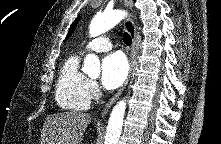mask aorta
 Segmentation results:
<instances>
[{
    "mask_svg": "<svg viewBox=\"0 0 221 144\" xmlns=\"http://www.w3.org/2000/svg\"><path fill=\"white\" fill-rule=\"evenodd\" d=\"M125 15V11L112 10L95 16L89 25L90 37H96L107 32L117 25L125 17ZM83 71L90 77L99 76L100 61L95 54L89 53L86 55L84 59ZM125 109V100L119 101L114 106L109 117L104 144H118L123 126Z\"/></svg>",
    "mask_w": 221,
    "mask_h": 144,
    "instance_id": "1",
    "label": "aorta"
}]
</instances>
